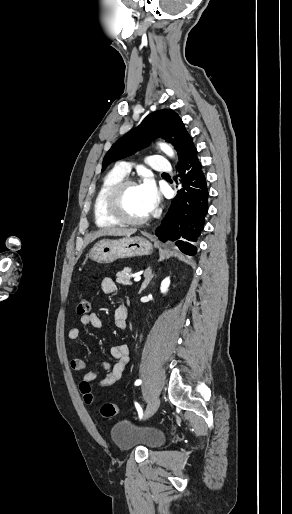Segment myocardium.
Returning a JSON list of instances; mask_svg holds the SVG:
<instances>
[{
    "label": "myocardium",
    "instance_id": "obj_1",
    "mask_svg": "<svg viewBox=\"0 0 292 514\" xmlns=\"http://www.w3.org/2000/svg\"><path fill=\"white\" fill-rule=\"evenodd\" d=\"M130 187H138L137 182L132 179H124L110 187L104 195V211L107 216L114 220L116 223L140 225L148 220L150 215L149 212L140 218H128L125 217L119 210L120 195L125 189Z\"/></svg>",
    "mask_w": 292,
    "mask_h": 514
}]
</instances>
